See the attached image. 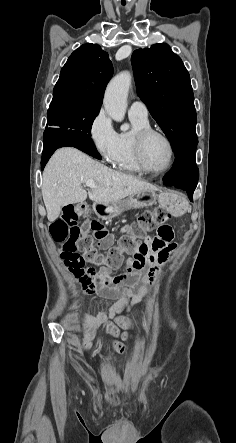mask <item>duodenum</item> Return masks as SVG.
<instances>
[{
  "mask_svg": "<svg viewBox=\"0 0 236 443\" xmlns=\"http://www.w3.org/2000/svg\"><path fill=\"white\" fill-rule=\"evenodd\" d=\"M107 206L106 205H98L95 208V212L99 215V216H105L106 215V210Z\"/></svg>",
  "mask_w": 236,
  "mask_h": 443,
  "instance_id": "duodenum-1",
  "label": "duodenum"
}]
</instances>
